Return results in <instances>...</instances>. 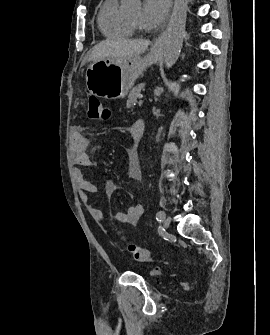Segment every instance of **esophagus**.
<instances>
[{"label":"esophagus","mask_w":270,"mask_h":335,"mask_svg":"<svg viewBox=\"0 0 270 335\" xmlns=\"http://www.w3.org/2000/svg\"><path fill=\"white\" fill-rule=\"evenodd\" d=\"M169 3V9L172 7V0H168ZM165 31H163L154 41L153 49L159 50L163 48V45L165 43Z\"/></svg>","instance_id":"obj_1"}]
</instances>
